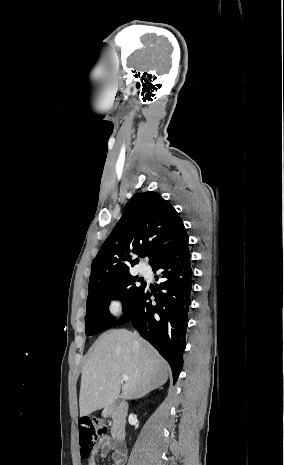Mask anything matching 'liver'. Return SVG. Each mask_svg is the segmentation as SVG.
Listing matches in <instances>:
<instances>
[{"label":"liver","instance_id":"6515ba94","mask_svg":"<svg viewBox=\"0 0 284 465\" xmlns=\"http://www.w3.org/2000/svg\"><path fill=\"white\" fill-rule=\"evenodd\" d=\"M169 365L147 341L125 329L107 331L94 343L82 369L80 417L110 407L119 397L141 399L164 385ZM122 375L129 381L122 385Z\"/></svg>","mask_w":284,"mask_h":465}]
</instances>
